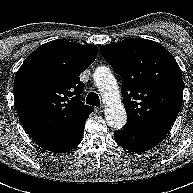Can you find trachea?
<instances>
[{
    "mask_svg": "<svg viewBox=\"0 0 193 193\" xmlns=\"http://www.w3.org/2000/svg\"><path fill=\"white\" fill-rule=\"evenodd\" d=\"M86 104L96 106V107H100L99 96L94 92L89 93L87 98H86Z\"/></svg>",
    "mask_w": 193,
    "mask_h": 193,
    "instance_id": "obj_1",
    "label": "trachea"
}]
</instances>
